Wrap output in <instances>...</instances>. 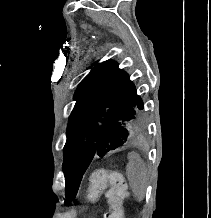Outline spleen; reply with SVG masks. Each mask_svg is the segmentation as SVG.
Here are the masks:
<instances>
[{
	"label": "spleen",
	"instance_id": "1",
	"mask_svg": "<svg viewBox=\"0 0 211 218\" xmlns=\"http://www.w3.org/2000/svg\"><path fill=\"white\" fill-rule=\"evenodd\" d=\"M129 162L126 168L127 178L129 180V186L138 202H142L145 198L146 186H147V172L143 160H141L139 154H129Z\"/></svg>",
	"mask_w": 211,
	"mask_h": 218
}]
</instances>
